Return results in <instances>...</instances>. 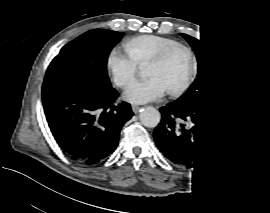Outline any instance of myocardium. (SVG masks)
I'll return each mask as SVG.
<instances>
[{
  "instance_id": "f54148a6",
  "label": "myocardium",
  "mask_w": 270,
  "mask_h": 213,
  "mask_svg": "<svg viewBox=\"0 0 270 213\" xmlns=\"http://www.w3.org/2000/svg\"><path fill=\"white\" fill-rule=\"evenodd\" d=\"M177 52H183V53L188 55L189 61H190V66H189L187 77L182 82V84L176 88L168 90L169 94L172 97H176V96L182 94L183 92H185L191 86V84L193 82V77H194V73L196 71L197 62H196V58H195V55L192 52V50L186 46H177V47L171 48L169 50H166V51L158 54L149 63V67L155 66V65H160V64L164 63L172 54L177 53Z\"/></svg>"
}]
</instances>
